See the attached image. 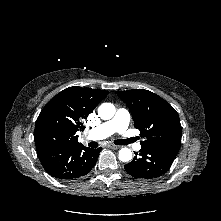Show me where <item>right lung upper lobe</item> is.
Here are the masks:
<instances>
[{
    "label": "right lung upper lobe",
    "mask_w": 221,
    "mask_h": 221,
    "mask_svg": "<svg viewBox=\"0 0 221 221\" xmlns=\"http://www.w3.org/2000/svg\"><path fill=\"white\" fill-rule=\"evenodd\" d=\"M109 94L105 90L73 86L54 96L40 112L34 130L37 151L50 147L76 145V132L83 121Z\"/></svg>",
    "instance_id": "obj_1"
}]
</instances>
